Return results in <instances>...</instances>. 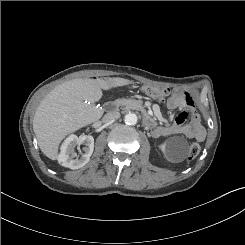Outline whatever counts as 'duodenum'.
I'll list each match as a JSON object with an SVG mask.
<instances>
[{
	"label": "duodenum",
	"instance_id": "duodenum-1",
	"mask_svg": "<svg viewBox=\"0 0 245 245\" xmlns=\"http://www.w3.org/2000/svg\"><path fill=\"white\" fill-rule=\"evenodd\" d=\"M117 106H118L117 102H115V101L109 102L106 105V110L107 111H114L117 108ZM143 120H144L145 125H147L149 127L153 126V123H154L153 119L149 115H145Z\"/></svg>",
	"mask_w": 245,
	"mask_h": 245
}]
</instances>
